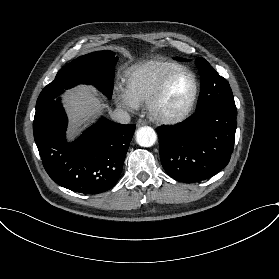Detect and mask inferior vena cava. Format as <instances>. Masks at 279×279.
Masks as SVG:
<instances>
[{
  "instance_id": "602c4592",
  "label": "inferior vena cava",
  "mask_w": 279,
  "mask_h": 279,
  "mask_svg": "<svg viewBox=\"0 0 279 279\" xmlns=\"http://www.w3.org/2000/svg\"><path fill=\"white\" fill-rule=\"evenodd\" d=\"M110 117L113 121L121 123V124H128L130 123V115L127 111L123 109H115L110 113Z\"/></svg>"
}]
</instances>
